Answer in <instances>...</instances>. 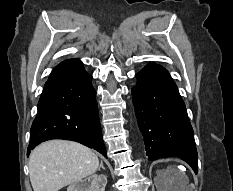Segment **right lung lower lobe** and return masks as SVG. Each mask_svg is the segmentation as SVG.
<instances>
[{
	"label": "right lung lower lobe",
	"instance_id": "1",
	"mask_svg": "<svg viewBox=\"0 0 233 191\" xmlns=\"http://www.w3.org/2000/svg\"><path fill=\"white\" fill-rule=\"evenodd\" d=\"M91 79L78 59L65 60L54 68L38 102L27 156L41 142L67 139L93 148L106 157Z\"/></svg>",
	"mask_w": 233,
	"mask_h": 191
}]
</instances>
